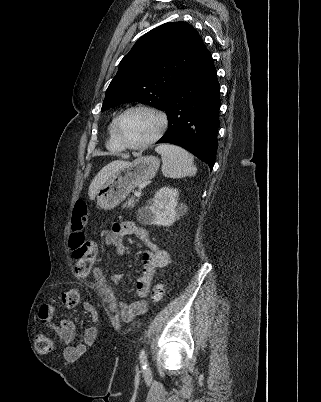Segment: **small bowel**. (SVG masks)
I'll return each instance as SVG.
<instances>
[{
  "mask_svg": "<svg viewBox=\"0 0 321 402\" xmlns=\"http://www.w3.org/2000/svg\"><path fill=\"white\" fill-rule=\"evenodd\" d=\"M128 235L138 238L147 246L148 250L142 254L141 274L136 281L134 301L130 304L118 301L120 318L123 322L127 323L133 321L138 315L146 311L144 298L149 292L153 273L156 269L167 266L170 260L169 253L153 242L150 232L132 221L114 223L109 232L105 235L104 243L107 247L113 248L116 255L121 257L126 253L123 239ZM91 274L94 280L99 284H108L106 275L101 267L94 266L91 270ZM120 278L121 276L119 274H115L112 276L111 281L113 284H116ZM82 308L85 311H91L94 305L91 302H85ZM56 312L57 307L55 305L43 303L39 307V320L60 337L64 346L63 355L66 360L72 361L76 358H82L84 353L87 352L88 347H95L96 345L95 337L98 332L96 327L97 323L92 322L91 326H88L87 329L84 330L82 344H75V330L72 322L61 320L59 324H55L53 318Z\"/></svg>",
  "mask_w": 321,
  "mask_h": 402,
  "instance_id": "1",
  "label": "small bowel"
}]
</instances>
